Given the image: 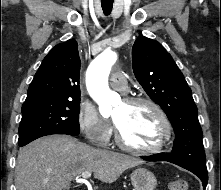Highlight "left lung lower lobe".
Wrapping results in <instances>:
<instances>
[{"mask_svg":"<svg viewBox=\"0 0 221 190\" xmlns=\"http://www.w3.org/2000/svg\"><path fill=\"white\" fill-rule=\"evenodd\" d=\"M141 158L147 161H167L174 163L184 169L191 171L196 176H198L202 181L203 188L204 189L206 188L208 181V174L205 162L192 161L186 158L178 157L173 153L171 154L159 153L150 156H142Z\"/></svg>","mask_w":221,"mask_h":190,"instance_id":"left-lung-lower-lobe-1","label":"left lung lower lobe"}]
</instances>
